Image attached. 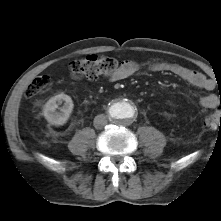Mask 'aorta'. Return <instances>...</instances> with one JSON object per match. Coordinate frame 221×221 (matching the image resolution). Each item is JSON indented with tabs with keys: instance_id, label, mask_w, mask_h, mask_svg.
<instances>
[{
	"instance_id": "1",
	"label": "aorta",
	"mask_w": 221,
	"mask_h": 221,
	"mask_svg": "<svg viewBox=\"0 0 221 221\" xmlns=\"http://www.w3.org/2000/svg\"><path fill=\"white\" fill-rule=\"evenodd\" d=\"M138 109L129 99H118L114 101L109 109L110 119L121 125H128L136 118Z\"/></svg>"
}]
</instances>
